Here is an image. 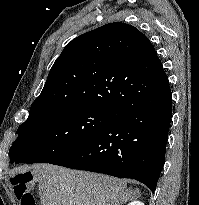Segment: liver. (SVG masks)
Segmentation results:
<instances>
[{
  "instance_id": "liver-1",
  "label": "liver",
  "mask_w": 199,
  "mask_h": 205,
  "mask_svg": "<svg viewBox=\"0 0 199 205\" xmlns=\"http://www.w3.org/2000/svg\"><path fill=\"white\" fill-rule=\"evenodd\" d=\"M34 173L42 205H119L139 197L125 180L97 173L51 164L36 166Z\"/></svg>"
}]
</instances>
